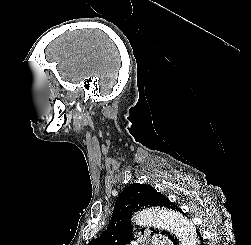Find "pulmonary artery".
Segmentation results:
<instances>
[{
    "label": "pulmonary artery",
    "instance_id": "1",
    "mask_svg": "<svg viewBox=\"0 0 251 245\" xmlns=\"http://www.w3.org/2000/svg\"><path fill=\"white\" fill-rule=\"evenodd\" d=\"M151 244L152 245H168V242L163 237H157V236H155V237H153L151 239Z\"/></svg>",
    "mask_w": 251,
    "mask_h": 245
}]
</instances>
